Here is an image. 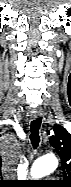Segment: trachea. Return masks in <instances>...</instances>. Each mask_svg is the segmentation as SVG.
<instances>
[{"label":"trachea","instance_id":"trachea-1","mask_svg":"<svg viewBox=\"0 0 71 187\" xmlns=\"http://www.w3.org/2000/svg\"><path fill=\"white\" fill-rule=\"evenodd\" d=\"M41 122H42V118L38 117L34 119L30 125V131H31L30 139L34 148H37L39 146V142H40L39 129H40Z\"/></svg>","mask_w":71,"mask_h":187}]
</instances>
